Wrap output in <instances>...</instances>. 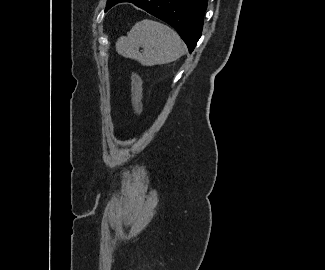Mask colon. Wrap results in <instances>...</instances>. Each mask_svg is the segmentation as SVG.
<instances>
[{"label":"colon","instance_id":"5ec220e1","mask_svg":"<svg viewBox=\"0 0 325 270\" xmlns=\"http://www.w3.org/2000/svg\"><path fill=\"white\" fill-rule=\"evenodd\" d=\"M131 101L133 109L137 115L142 114V81L140 76L132 72L131 73Z\"/></svg>","mask_w":325,"mask_h":270}]
</instances>
